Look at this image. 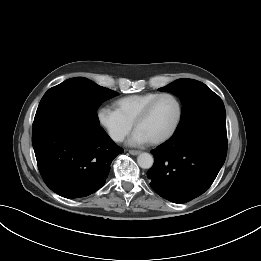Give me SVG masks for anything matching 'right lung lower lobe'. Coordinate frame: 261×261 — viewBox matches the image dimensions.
Returning <instances> with one entry per match:
<instances>
[{"mask_svg":"<svg viewBox=\"0 0 261 261\" xmlns=\"http://www.w3.org/2000/svg\"><path fill=\"white\" fill-rule=\"evenodd\" d=\"M32 144L46 185L65 198L101 188L113 159L123 152L99 126L56 120L32 130Z\"/></svg>","mask_w":261,"mask_h":261,"instance_id":"right-lung-lower-lobe-1","label":"right lung lower lobe"}]
</instances>
